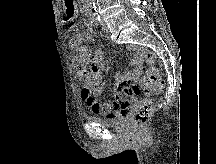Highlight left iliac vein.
I'll return each mask as SVG.
<instances>
[{"label": "left iliac vein", "mask_w": 216, "mask_h": 164, "mask_svg": "<svg viewBox=\"0 0 216 164\" xmlns=\"http://www.w3.org/2000/svg\"><path fill=\"white\" fill-rule=\"evenodd\" d=\"M101 28H102L103 31L108 30V27H107V24L105 23V21H101Z\"/></svg>", "instance_id": "left-iliac-vein-1"}]
</instances>
